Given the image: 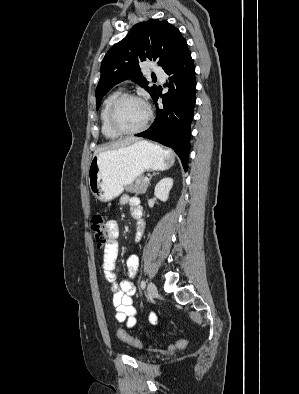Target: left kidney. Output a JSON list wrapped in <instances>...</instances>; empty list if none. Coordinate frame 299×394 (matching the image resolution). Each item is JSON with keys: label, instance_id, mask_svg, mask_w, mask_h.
Here are the masks:
<instances>
[{"label": "left kidney", "instance_id": "obj_1", "mask_svg": "<svg viewBox=\"0 0 299 394\" xmlns=\"http://www.w3.org/2000/svg\"><path fill=\"white\" fill-rule=\"evenodd\" d=\"M173 186L172 178H163L161 179L154 189V195L161 201H167L169 197V192Z\"/></svg>", "mask_w": 299, "mask_h": 394}]
</instances>
